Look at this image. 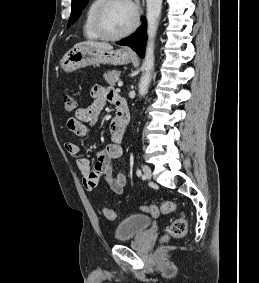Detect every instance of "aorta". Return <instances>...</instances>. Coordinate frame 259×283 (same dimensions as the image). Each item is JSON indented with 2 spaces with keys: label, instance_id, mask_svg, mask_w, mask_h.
Returning a JSON list of instances; mask_svg holds the SVG:
<instances>
[{
  "label": "aorta",
  "instance_id": "obj_1",
  "mask_svg": "<svg viewBox=\"0 0 259 283\" xmlns=\"http://www.w3.org/2000/svg\"><path fill=\"white\" fill-rule=\"evenodd\" d=\"M146 8L148 41L142 66L143 74L138 84L140 96H144L147 93L152 79V71L154 69V41L161 15L162 0H146Z\"/></svg>",
  "mask_w": 259,
  "mask_h": 283
}]
</instances>
